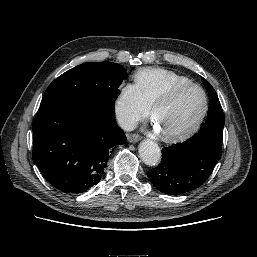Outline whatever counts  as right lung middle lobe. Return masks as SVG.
I'll return each instance as SVG.
<instances>
[{"instance_id":"right-lung-middle-lobe-1","label":"right lung middle lobe","mask_w":257,"mask_h":257,"mask_svg":"<svg viewBox=\"0 0 257 257\" xmlns=\"http://www.w3.org/2000/svg\"><path fill=\"white\" fill-rule=\"evenodd\" d=\"M126 76L125 69L112 62H87L56 78L47 88L40 106L60 100L86 99L107 104L112 109Z\"/></svg>"}]
</instances>
